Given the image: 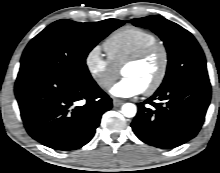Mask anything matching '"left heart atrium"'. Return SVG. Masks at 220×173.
Returning a JSON list of instances; mask_svg holds the SVG:
<instances>
[{
    "instance_id": "left-heart-atrium-1",
    "label": "left heart atrium",
    "mask_w": 220,
    "mask_h": 173,
    "mask_svg": "<svg viewBox=\"0 0 220 173\" xmlns=\"http://www.w3.org/2000/svg\"><path fill=\"white\" fill-rule=\"evenodd\" d=\"M144 91L142 85L132 77H123L110 89V93L115 97L129 98L137 96Z\"/></svg>"
}]
</instances>
